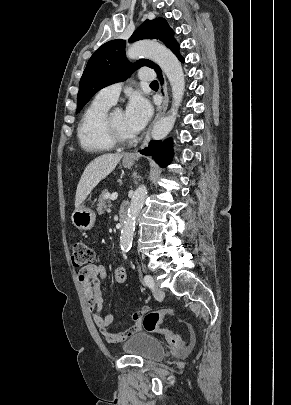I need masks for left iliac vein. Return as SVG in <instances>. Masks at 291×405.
I'll list each match as a JSON object with an SVG mask.
<instances>
[{"label":"left iliac vein","mask_w":291,"mask_h":405,"mask_svg":"<svg viewBox=\"0 0 291 405\" xmlns=\"http://www.w3.org/2000/svg\"><path fill=\"white\" fill-rule=\"evenodd\" d=\"M153 293L156 298H161L164 296V292L158 284L153 286Z\"/></svg>","instance_id":"4c4485c4"}]
</instances>
